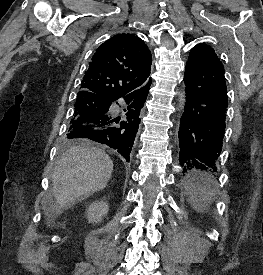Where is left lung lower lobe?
<instances>
[{"instance_id": "left-lung-lower-lobe-1", "label": "left lung lower lobe", "mask_w": 263, "mask_h": 275, "mask_svg": "<svg viewBox=\"0 0 263 275\" xmlns=\"http://www.w3.org/2000/svg\"><path fill=\"white\" fill-rule=\"evenodd\" d=\"M186 106L179 127V164L195 180L218 171L228 107L224 67L213 49L190 52L184 75Z\"/></svg>"}]
</instances>
